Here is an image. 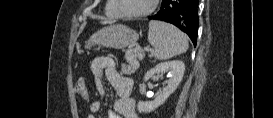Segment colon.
Returning a JSON list of instances; mask_svg holds the SVG:
<instances>
[{
  "label": "colon",
  "mask_w": 273,
  "mask_h": 118,
  "mask_svg": "<svg viewBox=\"0 0 273 118\" xmlns=\"http://www.w3.org/2000/svg\"><path fill=\"white\" fill-rule=\"evenodd\" d=\"M76 93L81 97H85L87 95L85 81L81 78L76 82Z\"/></svg>",
  "instance_id": "5ec220e1"
}]
</instances>
